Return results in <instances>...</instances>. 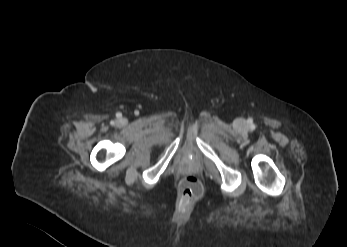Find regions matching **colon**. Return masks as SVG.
Masks as SVG:
<instances>
[{
    "mask_svg": "<svg viewBox=\"0 0 347 247\" xmlns=\"http://www.w3.org/2000/svg\"><path fill=\"white\" fill-rule=\"evenodd\" d=\"M180 193L187 199L197 198L202 194L199 179L193 174L185 175L179 183Z\"/></svg>",
    "mask_w": 347,
    "mask_h": 247,
    "instance_id": "5ec220e1",
    "label": "colon"
}]
</instances>
